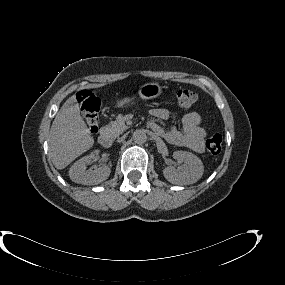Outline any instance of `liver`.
<instances>
[{
    "label": "liver",
    "instance_id": "1",
    "mask_svg": "<svg viewBox=\"0 0 285 285\" xmlns=\"http://www.w3.org/2000/svg\"><path fill=\"white\" fill-rule=\"evenodd\" d=\"M94 140L80 115L76 96L66 100L49 134V153L54 166L64 169L93 146Z\"/></svg>",
    "mask_w": 285,
    "mask_h": 285
}]
</instances>
